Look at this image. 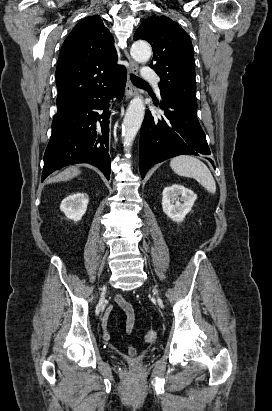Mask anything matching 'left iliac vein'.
<instances>
[{"label": "left iliac vein", "instance_id": "1", "mask_svg": "<svg viewBox=\"0 0 272 411\" xmlns=\"http://www.w3.org/2000/svg\"><path fill=\"white\" fill-rule=\"evenodd\" d=\"M154 293L158 296V290L154 288Z\"/></svg>", "mask_w": 272, "mask_h": 411}]
</instances>
